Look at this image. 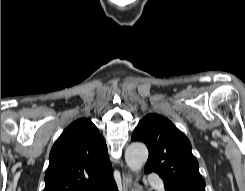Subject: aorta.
Listing matches in <instances>:
<instances>
[{
    "label": "aorta",
    "instance_id": "obj_1",
    "mask_svg": "<svg viewBox=\"0 0 245 191\" xmlns=\"http://www.w3.org/2000/svg\"><path fill=\"white\" fill-rule=\"evenodd\" d=\"M148 159V149L143 143H132L125 151V160L129 168L138 173ZM140 187L137 186L133 191H140Z\"/></svg>",
    "mask_w": 245,
    "mask_h": 191
}]
</instances>
